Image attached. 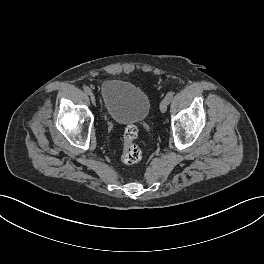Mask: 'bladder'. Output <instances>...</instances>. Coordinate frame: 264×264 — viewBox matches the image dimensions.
Listing matches in <instances>:
<instances>
[{
    "instance_id": "obj_1",
    "label": "bladder",
    "mask_w": 264,
    "mask_h": 264,
    "mask_svg": "<svg viewBox=\"0 0 264 264\" xmlns=\"http://www.w3.org/2000/svg\"><path fill=\"white\" fill-rule=\"evenodd\" d=\"M100 92L104 114L112 122L139 123L150 111L148 95L131 82L108 79L102 83Z\"/></svg>"
}]
</instances>
